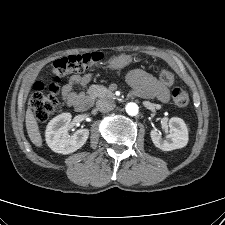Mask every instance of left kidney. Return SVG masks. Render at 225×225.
Listing matches in <instances>:
<instances>
[{"instance_id":"1","label":"left kidney","mask_w":225,"mask_h":225,"mask_svg":"<svg viewBox=\"0 0 225 225\" xmlns=\"http://www.w3.org/2000/svg\"><path fill=\"white\" fill-rule=\"evenodd\" d=\"M151 139L156 147L163 151H172L183 148L188 143V129L181 118L173 117L169 120V134L165 139L161 132L153 129L150 132Z\"/></svg>"}]
</instances>
